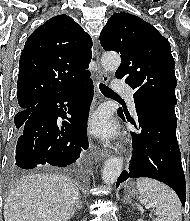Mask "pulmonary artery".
I'll use <instances>...</instances> for the list:
<instances>
[{
  "mask_svg": "<svg viewBox=\"0 0 190 221\" xmlns=\"http://www.w3.org/2000/svg\"><path fill=\"white\" fill-rule=\"evenodd\" d=\"M113 87L115 90L119 92H123L125 95V98L132 110V112L135 113V103H134V92L132 89L124 86L119 80H116L113 84Z\"/></svg>",
  "mask_w": 190,
  "mask_h": 221,
  "instance_id": "obj_1",
  "label": "pulmonary artery"
}]
</instances>
